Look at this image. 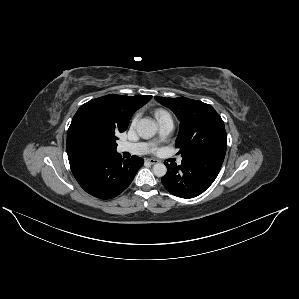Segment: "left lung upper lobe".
<instances>
[{"label": "left lung upper lobe", "instance_id": "left-lung-upper-lobe-1", "mask_svg": "<svg viewBox=\"0 0 299 299\" xmlns=\"http://www.w3.org/2000/svg\"><path fill=\"white\" fill-rule=\"evenodd\" d=\"M155 99L180 120L175 147L180 149L182 157L199 151H226L224 122L211 105L186 97Z\"/></svg>", "mask_w": 299, "mask_h": 299}]
</instances>
